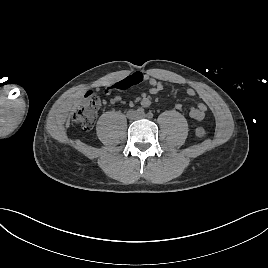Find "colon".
Listing matches in <instances>:
<instances>
[{
  "label": "colon",
  "instance_id": "colon-1",
  "mask_svg": "<svg viewBox=\"0 0 268 268\" xmlns=\"http://www.w3.org/2000/svg\"><path fill=\"white\" fill-rule=\"evenodd\" d=\"M135 85L131 79H125L115 85L117 89H127ZM100 106V98L94 91H88L82 102L73 110V121L84 130H90L96 118L97 111ZM194 134L197 138H203L206 130L202 126L195 128Z\"/></svg>",
  "mask_w": 268,
  "mask_h": 268
}]
</instances>
